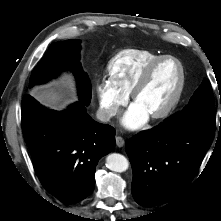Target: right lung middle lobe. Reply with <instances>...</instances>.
<instances>
[{
	"label": "right lung middle lobe",
	"instance_id": "dd1d6c3e",
	"mask_svg": "<svg viewBox=\"0 0 221 221\" xmlns=\"http://www.w3.org/2000/svg\"><path fill=\"white\" fill-rule=\"evenodd\" d=\"M79 42V40H68L53 43L34 68L30 77V86L45 82L62 70H71L78 81L80 101L89 104L92 88L89 77L79 64Z\"/></svg>",
	"mask_w": 221,
	"mask_h": 221
}]
</instances>
